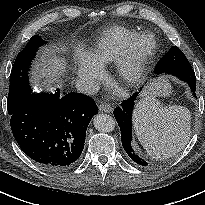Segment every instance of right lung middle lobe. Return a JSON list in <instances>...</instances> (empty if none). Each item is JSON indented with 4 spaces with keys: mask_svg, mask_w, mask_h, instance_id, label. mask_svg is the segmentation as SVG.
Masks as SVG:
<instances>
[{
    "mask_svg": "<svg viewBox=\"0 0 205 205\" xmlns=\"http://www.w3.org/2000/svg\"><path fill=\"white\" fill-rule=\"evenodd\" d=\"M46 42L40 36H33L25 48L18 53L10 74V88L7 99V109L14 114L31 96L28 70L35 58L37 49Z\"/></svg>",
    "mask_w": 205,
    "mask_h": 205,
    "instance_id": "1",
    "label": "right lung middle lobe"
}]
</instances>
